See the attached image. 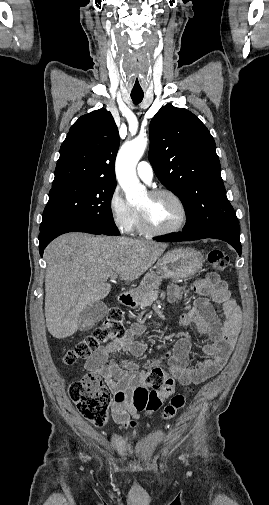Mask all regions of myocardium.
I'll use <instances>...</instances> for the list:
<instances>
[{"label":"myocardium","mask_w":269,"mask_h":505,"mask_svg":"<svg viewBox=\"0 0 269 505\" xmlns=\"http://www.w3.org/2000/svg\"><path fill=\"white\" fill-rule=\"evenodd\" d=\"M149 195L152 197L169 196L172 199H174L181 208L182 218H181L180 222L173 227L158 228L151 223L149 217L147 216V214L143 210L138 209L141 225H142L143 229L145 230V232L152 234V235H169V234L180 232L187 225L188 220H189V211H188L186 203L177 193H175L174 191L169 190V189H154L149 192Z\"/></svg>","instance_id":"1"}]
</instances>
